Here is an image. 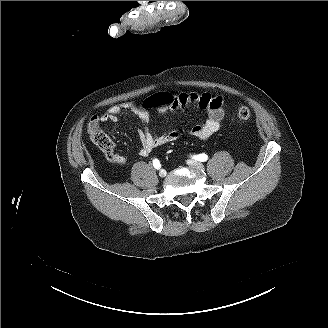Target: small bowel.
<instances>
[{"label": "small bowel", "instance_id": "obj_1", "mask_svg": "<svg viewBox=\"0 0 328 328\" xmlns=\"http://www.w3.org/2000/svg\"><path fill=\"white\" fill-rule=\"evenodd\" d=\"M177 102L172 105L170 112L176 113L183 111L187 106L193 105L204 111L207 115L206 119L201 123L195 124L189 128H172L160 134H154L150 130L153 117L151 113L133 102H124L111 106L103 113L99 120L101 122H116L121 114L131 113L137 116L143 124V127L138 129V136L141 142L139 155L147 157L155 148L177 140L184 133L200 140H206L216 133L222 125L225 118L223 108L224 99L221 95H212L210 93H181L176 95ZM166 110L159 112L160 116H164ZM106 157L113 163L123 165L127 162V158L119 153H114L112 150L105 153Z\"/></svg>", "mask_w": 328, "mask_h": 328}]
</instances>
